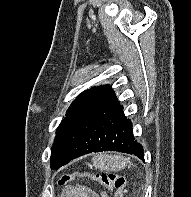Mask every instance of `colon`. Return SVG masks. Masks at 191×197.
Wrapping results in <instances>:
<instances>
[{
	"mask_svg": "<svg viewBox=\"0 0 191 197\" xmlns=\"http://www.w3.org/2000/svg\"><path fill=\"white\" fill-rule=\"evenodd\" d=\"M90 180L97 182L108 190L114 191V197H123L125 178L116 173L81 174L63 173L59 178V185H66L76 180Z\"/></svg>",
	"mask_w": 191,
	"mask_h": 197,
	"instance_id": "obj_1",
	"label": "colon"
}]
</instances>
